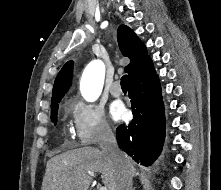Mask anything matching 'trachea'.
Returning <instances> with one entry per match:
<instances>
[{"label": "trachea", "mask_w": 221, "mask_h": 190, "mask_svg": "<svg viewBox=\"0 0 221 190\" xmlns=\"http://www.w3.org/2000/svg\"><path fill=\"white\" fill-rule=\"evenodd\" d=\"M121 88L122 89H127V75H124L121 78Z\"/></svg>", "instance_id": "1"}]
</instances>
